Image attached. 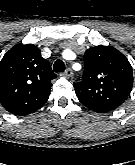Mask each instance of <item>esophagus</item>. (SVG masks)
Wrapping results in <instances>:
<instances>
[{"instance_id":"esophagus-1","label":"esophagus","mask_w":135,"mask_h":165,"mask_svg":"<svg viewBox=\"0 0 135 165\" xmlns=\"http://www.w3.org/2000/svg\"><path fill=\"white\" fill-rule=\"evenodd\" d=\"M64 76L66 77H71L73 75V71L71 68H67L65 72L63 73Z\"/></svg>"}]
</instances>
